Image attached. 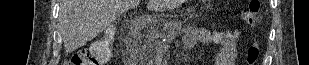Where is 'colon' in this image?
I'll use <instances>...</instances> for the list:
<instances>
[{
  "instance_id": "colon-1",
  "label": "colon",
  "mask_w": 309,
  "mask_h": 65,
  "mask_svg": "<svg viewBox=\"0 0 309 65\" xmlns=\"http://www.w3.org/2000/svg\"><path fill=\"white\" fill-rule=\"evenodd\" d=\"M260 12V4L258 1H251L249 6L242 12V19L247 25H254ZM115 31L108 28L104 36L93 42L91 46L78 52L74 65H102L108 62L112 53V46L115 41ZM260 58V46L257 42H253L247 50L246 62L248 65H258Z\"/></svg>"
}]
</instances>
